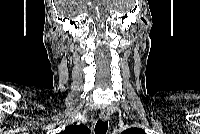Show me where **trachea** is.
<instances>
[{
	"label": "trachea",
	"instance_id": "obj_1",
	"mask_svg": "<svg viewBox=\"0 0 200 134\" xmlns=\"http://www.w3.org/2000/svg\"><path fill=\"white\" fill-rule=\"evenodd\" d=\"M108 130V121L98 120L95 125V134H106Z\"/></svg>",
	"mask_w": 200,
	"mask_h": 134
}]
</instances>
